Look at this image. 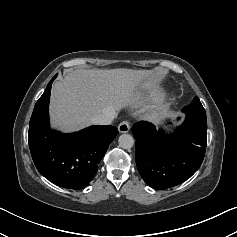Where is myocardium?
<instances>
[{
	"instance_id": "1",
	"label": "myocardium",
	"mask_w": 237,
	"mask_h": 237,
	"mask_svg": "<svg viewBox=\"0 0 237 237\" xmlns=\"http://www.w3.org/2000/svg\"><path fill=\"white\" fill-rule=\"evenodd\" d=\"M163 105H158L156 108L150 113L149 118L154 119L160 116L163 113Z\"/></svg>"
}]
</instances>
